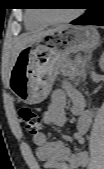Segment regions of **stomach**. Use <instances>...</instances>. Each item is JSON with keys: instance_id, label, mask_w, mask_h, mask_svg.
Returning a JSON list of instances; mask_svg holds the SVG:
<instances>
[{"instance_id": "stomach-1", "label": "stomach", "mask_w": 104, "mask_h": 169, "mask_svg": "<svg viewBox=\"0 0 104 169\" xmlns=\"http://www.w3.org/2000/svg\"><path fill=\"white\" fill-rule=\"evenodd\" d=\"M93 27L65 26L23 48L11 68L9 87L19 101L37 104L47 98L70 53L99 43Z\"/></svg>"}]
</instances>
